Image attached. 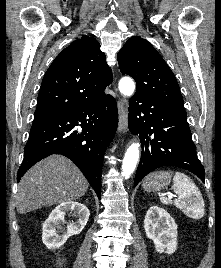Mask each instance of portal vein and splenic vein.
<instances>
[{"label":"portal vein and splenic vein","mask_w":221,"mask_h":268,"mask_svg":"<svg viewBox=\"0 0 221 268\" xmlns=\"http://www.w3.org/2000/svg\"><path fill=\"white\" fill-rule=\"evenodd\" d=\"M170 197H174V195L170 194Z\"/></svg>","instance_id":"obj_1"}]
</instances>
